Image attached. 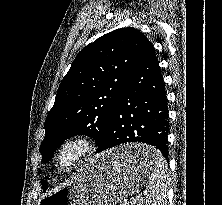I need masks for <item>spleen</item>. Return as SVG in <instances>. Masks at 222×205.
I'll use <instances>...</instances> for the list:
<instances>
[{
  "instance_id": "3e777b00",
  "label": "spleen",
  "mask_w": 222,
  "mask_h": 205,
  "mask_svg": "<svg viewBox=\"0 0 222 205\" xmlns=\"http://www.w3.org/2000/svg\"><path fill=\"white\" fill-rule=\"evenodd\" d=\"M167 191V164L165 158L158 153L149 164L145 197L138 205H166Z\"/></svg>"
}]
</instances>
